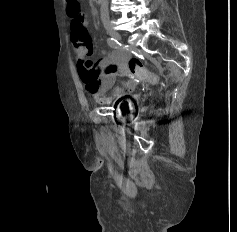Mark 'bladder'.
I'll return each mask as SVG.
<instances>
[{
  "label": "bladder",
  "mask_w": 237,
  "mask_h": 232,
  "mask_svg": "<svg viewBox=\"0 0 237 232\" xmlns=\"http://www.w3.org/2000/svg\"><path fill=\"white\" fill-rule=\"evenodd\" d=\"M118 106L123 110L131 111L134 107V103L133 101L122 100L118 102Z\"/></svg>",
  "instance_id": "bladder-1"
}]
</instances>
